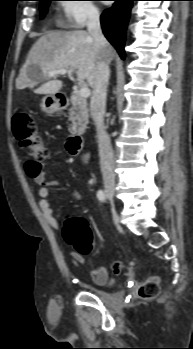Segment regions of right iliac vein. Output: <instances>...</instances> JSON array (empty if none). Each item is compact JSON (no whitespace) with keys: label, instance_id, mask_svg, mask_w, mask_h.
<instances>
[{"label":"right iliac vein","instance_id":"right-iliac-vein-1","mask_svg":"<svg viewBox=\"0 0 193 349\" xmlns=\"http://www.w3.org/2000/svg\"><path fill=\"white\" fill-rule=\"evenodd\" d=\"M106 193H107L108 196H110V197H114V196H115V190H114V188H112V187L107 188Z\"/></svg>","mask_w":193,"mask_h":349}]
</instances>
